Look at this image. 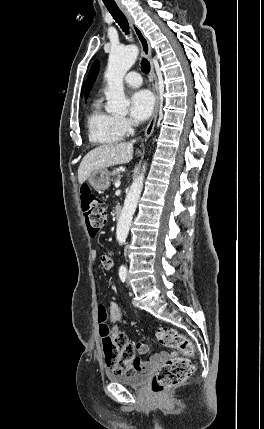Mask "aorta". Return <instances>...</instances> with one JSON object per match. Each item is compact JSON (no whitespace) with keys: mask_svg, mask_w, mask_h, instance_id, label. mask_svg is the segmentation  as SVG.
<instances>
[{"mask_svg":"<svg viewBox=\"0 0 264 429\" xmlns=\"http://www.w3.org/2000/svg\"><path fill=\"white\" fill-rule=\"evenodd\" d=\"M137 55L138 49L135 45L115 47L111 50L105 72V78L108 84L105 92L107 98L106 109L108 112L126 113L129 100L124 94L123 78L135 63ZM145 172L146 166L144 165L141 174L133 181L125 198L116 228V238L120 245L125 243L128 236L132 218L143 189Z\"/></svg>","mask_w":264,"mask_h":429,"instance_id":"aorta-1","label":"aorta"}]
</instances>
